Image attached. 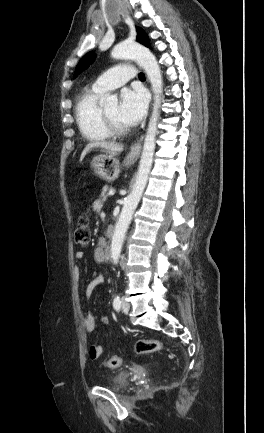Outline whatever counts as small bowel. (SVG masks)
<instances>
[{"mask_svg":"<svg viewBox=\"0 0 264 433\" xmlns=\"http://www.w3.org/2000/svg\"><path fill=\"white\" fill-rule=\"evenodd\" d=\"M102 207H103V203L100 200H95L92 203V210L94 212H100ZM75 256H76V259L81 260L85 257V252L84 251H78ZM75 274H76L77 279L79 280L80 275H81V271H80V268L78 266L75 268ZM103 282H104L103 276L99 275V276L95 277L86 287V290H85L86 298L89 299L92 292L94 291V289L97 288L98 286L102 285ZM101 320L104 324L109 323V318L106 315H103L101 317ZM82 321H83V326L87 332L91 333L95 330L96 321H95L94 316L89 311L83 314ZM88 354H89V357L91 360H96L102 354V347L100 345H91L89 347Z\"/></svg>","mask_w":264,"mask_h":433,"instance_id":"obj_1","label":"small bowel"}]
</instances>
